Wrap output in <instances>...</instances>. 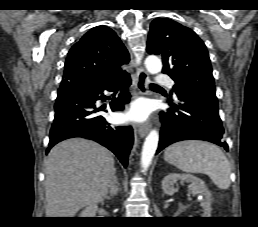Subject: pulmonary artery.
Segmentation results:
<instances>
[{"instance_id": "e3ab8cb5", "label": "pulmonary artery", "mask_w": 258, "mask_h": 227, "mask_svg": "<svg viewBox=\"0 0 258 227\" xmlns=\"http://www.w3.org/2000/svg\"><path fill=\"white\" fill-rule=\"evenodd\" d=\"M156 82H157L158 84H169V85L172 84L171 78L167 77V76L164 75V74H158V75L156 76Z\"/></svg>"}]
</instances>
